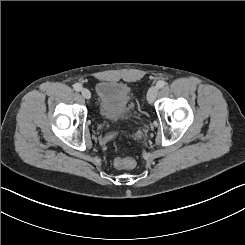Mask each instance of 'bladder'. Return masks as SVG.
Returning <instances> with one entry per match:
<instances>
[{
    "label": "bladder",
    "instance_id": "31cf9c89",
    "mask_svg": "<svg viewBox=\"0 0 245 245\" xmlns=\"http://www.w3.org/2000/svg\"><path fill=\"white\" fill-rule=\"evenodd\" d=\"M129 90L127 84L102 80L97 84V96L101 117L121 120L127 117L129 107Z\"/></svg>",
    "mask_w": 245,
    "mask_h": 245
}]
</instances>
